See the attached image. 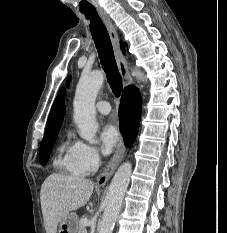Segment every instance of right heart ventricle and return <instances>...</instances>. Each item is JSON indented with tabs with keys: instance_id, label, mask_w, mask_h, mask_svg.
Listing matches in <instances>:
<instances>
[{
	"instance_id": "e07e8e85",
	"label": "right heart ventricle",
	"mask_w": 227,
	"mask_h": 233,
	"mask_svg": "<svg viewBox=\"0 0 227 233\" xmlns=\"http://www.w3.org/2000/svg\"><path fill=\"white\" fill-rule=\"evenodd\" d=\"M55 166L70 175L81 176L84 173L77 164L75 144L64 142L59 148V154L54 161Z\"/></svg>"
}]
</instances>
